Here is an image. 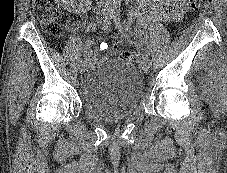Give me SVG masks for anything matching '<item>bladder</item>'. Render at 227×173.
I'll use <instances>...</instances> for the list:
<instances>
[{"mask_svg": "<svg viewBox=\"0 0 227 173\" xmlns=\"http://www.w3.org/2000/svg\"><path fill=\"white\" fill-rule=\"evenodd\" d=\"M78 94L87 112L114 122L137 111L143 84L134 65L109 59L89 69L80 82Z\"/></svg>", "mask_w": 227, "mask_h": 173, "instance_id": "31cf9c89", "label": "bladder"}]
</instances>
